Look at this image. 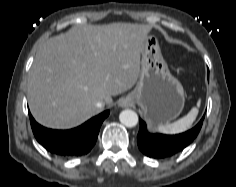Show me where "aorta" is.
<instances>
[{"label":"aorta","instance_id":"obj_1","mask_svg":"<svg viewBox=\"0 0 236 187\" xmlns=\"http://www.w3.org/2000/svg\"><path fill=\"white\" fill-rule=\"evenodd\" d=\"M119 120L126 127H134L138 123V115L133 110L126 109L120 113Z\"/></svg>","mask_w":236,"mask_h":187}]
</instances>
